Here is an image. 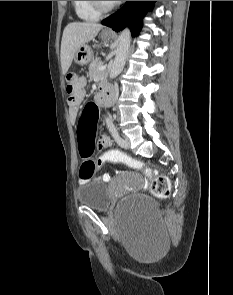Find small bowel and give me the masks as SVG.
I'll use <instances>...</instances> for the list:
<instances>
[{"instance_id":"1","label":"small bowel","mask_w":233,"mask_h":295,"mask_svg":"<svg viewBox=\"0 0 233 295\" xmlns=\"http://www.w3.org/2000/svg\"><path fill=\"white\" fill-rule=\"evenodd\" d=\"M84 100V93L77 96L76 98H68V105H69V115L72 120H75L80 111V106ZM84 111H91L97 115V107L94 104H88ZM111 145V140L107 136H101L98 140V146L100 149L107 148ZM104 181H109L110 176L108 174H104L102 176ZM83 181V180H82Z\"/></svg>"}]
</instances>
